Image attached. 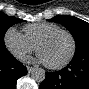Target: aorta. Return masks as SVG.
<instances>
[{"mask_svg": "<svg viewBox=\"0 0 89 89\" xmlns=\"http://www.w3.org/2000/svg\"><path fill=\"white\" fill-rule=\"evenodd\" d=\"M45 70L42 68H34L31 71V78L37 82V83H41L45 80Z\"/></svg>", "mask_w": 89, "mask_h": 89, "instance_id": "obj_1", "label": "aorta"}]
</instances>
